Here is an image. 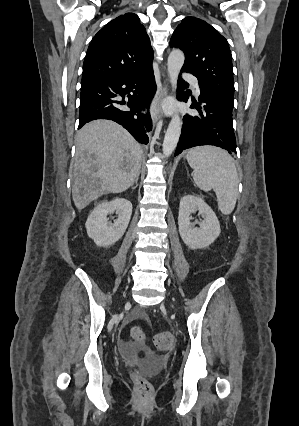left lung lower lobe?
I'll return each mask as SVG.
<instances>
[{"label":"left lung lower lobe","instance_id":"1","mask_svg":"<svg viewBox=\"0 0 299 426\" xmlns=\"http://www.w3.org/2000/svg\"><path fill=\"white\" fill-rule=\"evenodd\" d=\"M184 71V70H183ZM187 72V71H185ZM189 85L179 79L180 100L187 102L188 95L184 88ZM199 103L193 102L190 108H196L199 115H185L182 134L175 151V156L183 150L199 145H215L236 154V139L232 125L233 102L203 86L199 82Z\"/></svg>","mask_w":299,"mask_h":426}]
</instances>
